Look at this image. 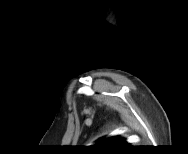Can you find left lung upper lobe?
Instances as JSON below:
<instances>
[{"mask_svg": "<svg viewBox=\"0 0 188 154\" xmlns=\"http://www.w3.org/2000/svg\"><path fill=\"white\" fill-rule=\"evenodd\" d=\"M129 144L125 139L120 137H109L99 141L94 147L107 149H122L128 147Z\"/></svg>", "mask_w": 188, "mask_h": 154, "instance_id": "left-lung-upper-lobe-1", "label": "left lung upper lobe"}]
</instances>
